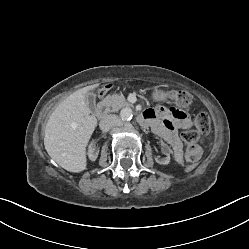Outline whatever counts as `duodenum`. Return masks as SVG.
Masks as SVG:
<instances>
[{"label": "duodenum", "mask_w": 249, "mask_h": 249, "mask_svg": "<svg viewBox=\"0 0 249 249\" xmlns=\"http://www.w3.org/2000/svg\"><path fill=\"white\" fill-rule=\"evenodd\" d=\"M106 114H107V101L106 99H102L96 108V116L102 118ZM140 123L146 126L149 125L148 120H146L143 116L140 117Z\"/></svg>", "instance_id": "1"}]
</instances>
